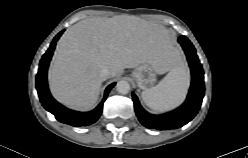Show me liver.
<instances>
[{"label":"liver","mask_w":248,"mask_h":158,"mask_svg":"<svg viewBox=\"0 0 248 158\" xmlns=\"http://www.w3.org/2000/svg\"><path fill=\"white\" fill-rule=\"evenodd\" d=\"M169 57L180 61L162 25L130 15L85 19L58 41L48 73L50 90L61 103L88 110L98 100L101 69L116 77L125 68L149 63L164 74L161 66Z\"/></svg>","instance_id":"obj_1"}]
</instances>
